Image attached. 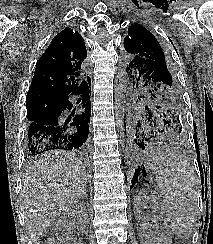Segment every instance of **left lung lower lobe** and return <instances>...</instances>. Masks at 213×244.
I'll return each instance as SVG.
<instances>
[{
  "instance_id": "0a47b994",
  "label": "left lung lower lobe",
  "mask_w": 213,
  "mask_h": 244,
  "mask_svg": "<svg viewBox=\"0 0 213 244\" xmlns=\"http://www.w3.org/2000/svg\"><path fill=\"white\" fill-rule=\"evenodd\" d=\"M126 117L127 125L124 122V126L125 135H127V146L133 152L145 150L149 144L157 141L164 134V130L158 126L154 119L144 116L129 106ZM132 182L134 183L133 180Z\"/></svg>"
}]
</instances>
